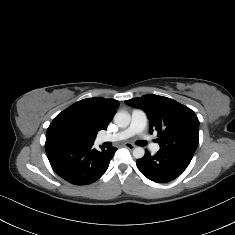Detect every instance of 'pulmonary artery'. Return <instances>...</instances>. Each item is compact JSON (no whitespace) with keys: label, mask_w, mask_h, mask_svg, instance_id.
Returning a JSON list of instances; mask_svg holds the SVG:
<instances>
[{"label":"pulmonary artery","mask_w":235,"mask_h":235,"mask_svg":"<svg viewBox=\"0 0 235 235\" xmlns=\"http://www.w3.org/2000/svg\"><path fill=\"white\" fill-rule=\"evenodd\" d=\"M148 123L147 115L143 110L133 109L131 112V119L129 125L114 133H108L97 137L96 143L102 144L105 142H119L126 140L134 135L140 134L144 131ZM151 150L155 153L159 150L158 145H152Z\"/></svg>","instance_id":"e3ab8cb5"}]
</instances>
